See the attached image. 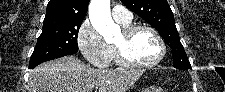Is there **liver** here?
Returning <instances> with one entry per match:
<instances>
[{"mask_svg":"<svg viewBox=\"0 0 225 92\" xmlns=\"http://www.w3.org/2000/svg\"><path fill=\"white\" fill-rule=\"evenodd\" d=\"M143 70L93 69L74 56L42 63L29 73L27 92H126Z\"/></svg>","mask_w":225,"mask_h":92,"instance_id":"liver-1","label":"liver"}]
</instances>
